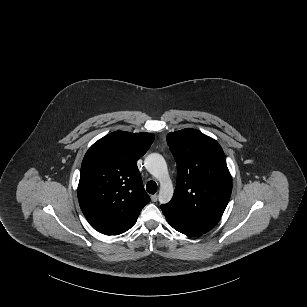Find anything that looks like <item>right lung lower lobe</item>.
<instances>
[{
	"label": "right lung lower lobe",
	"mask_w": 307,
	"mask_h": 307,
	"mask_svg": "<svg viewBox=\"0 0 307 307\" xmlns=\"http://www.w3.org/2000/svg\"><path fill=\"white\" fill-rule=\"evenodd\" d=\"M134 224H135V222H134L131 226H129L125 231H127L128 229H130ZM125 231H123V232H125ZM123 232H121V233H123ZM121 233H120V234H121Z\"/></svg>",
	"instance_id": "obj_1"
}]
</instances>
